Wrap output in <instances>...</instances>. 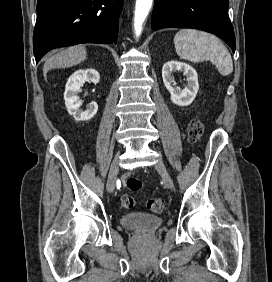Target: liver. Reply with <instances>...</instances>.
Returning <instances> with one entry per match:
<instances>
[{
  "label": "liver",
  "mask_w": 272,
  "mask_h": 282,
  "mask_svg": "<svg viewBox=\"0 0 272 282\" xmlns=\"http://www.w3.org/2000/svg\"><path fill=\"white\" fill-rule=\"evenodd\" d=\"M86 58L87 51L82 45H76L58 51L45 61L43 68L44 77H46L47 72L51 69L71 67L83 62Z\"/></svg>",
  "instance_id": "liver-1"
}]
</instances>
